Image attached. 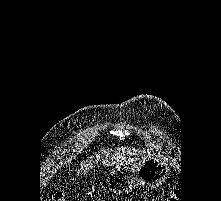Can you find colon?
I'll use <instances>...</instances> for the list:
<instances>
[{"label": "colon", "instance_id": "colon-1", "mask_svg": "<svg viewBox=\"0 0 221 201\" xmlns=\"http://www.w3.org/2000/svg\"><path fill=\"white\" fill-rule=\"evenodd\" d=\"M47 201H70V200L66 195L59 193L50 197ZM166 201H182L181 192L177 189L174 190Z\"/></svg>", "mask_w": 221, "mask_h": 201}]
</instances>
